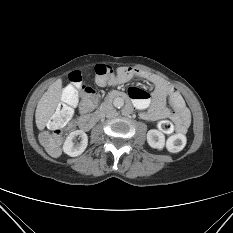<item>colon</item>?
Masks as SVG:
<instances>
[{"instance_id": "5ec220e1", "label": "colon", "mask_w": 233, "mask_h": 233, "mask_svg": "<svg viewBox=\"0 0 233 233\" xmlns=\"http://www.w3.org/2000/svg\"><path fill=\"white\" fill-rule=\"evenodd\" d=\"M116 74L114 68L107 64L95 66V80L99 85L114 83ZM69 85L64 89L63 101L58 105L55 113L48 122L46 129L40 134V141L46 150L56 155L60 151L64 126L72 115V109L78 102L79 94L84 97L95 96L92 87L83 84L81 72L73 71L69 74ZM186 137L181 133L172 135L167 141V147L172 152L181 151L186 145Z\"/></svg>"}]
</instances>
